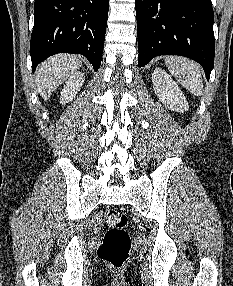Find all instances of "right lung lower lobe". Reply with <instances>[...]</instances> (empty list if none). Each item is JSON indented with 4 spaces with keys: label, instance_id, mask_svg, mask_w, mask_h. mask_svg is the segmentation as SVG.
Returning <instances> with one entry per match:
<instances>
[{
    "label": "right lung lower lobe",
    "instance_id": "right-lung-lower-lobe-1",
    "mask_svg": "<svg viewBox=\"0 0 233 286\" xmlns=\"http://www.w3.org/2000/svg\"><path fill=\"white\" fill-rule=\"evenodd\" d=\"M109 0H35L30 42L32 71L56 53L84 55L101 64Z\"/></svg>",
    "mask_w": 233,
    "mask_h": 286
}]
</instances>
